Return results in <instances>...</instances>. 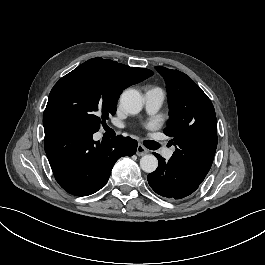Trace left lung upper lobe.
Wrapping results in <instances>:
<instances>
[{"label":"left lung upper lobe","instance_id":"1","mask_svg":"<svg viewBox=\"0 0 265 265\" xmlns=\"http://www.w3.org/2000/svg\"><path fill=\"white\" fill-rule=\"evenodd\" d=\"M165 79L169 120L164 133L176 146L171 160L204 180L217 148L216 116L212 102L186 74L155 67Z\"/></svg>","mask_w":265,"mask_h":265}]
</instances>
